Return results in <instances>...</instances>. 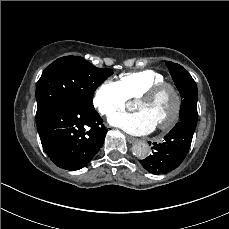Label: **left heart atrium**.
<instances>
[{
    "label": "left heart atrium",
    "mask_w": 229,
    "mask_h": 229,
    "mask_svg": "<svg viewBox=\"0 0 229 229\" xmlns=\"http://www.w3.org/2000/svg\"><path fill=\"white\" fill-rule=\"evenodd\" d=\"M109 123L134 135L147 134L156 126L152 119L143 111L119 113L110 117Z\"/></svg>",
    "instance_id": "1"
}]
</instances>
